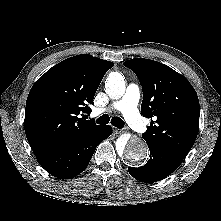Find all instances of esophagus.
I'll return each instance as SVG.
<instances>
[{"label":"esophagus","instance_id":"esophagus-1","mask_svg":"<svg viewBox=\"0 0 221 221\" xmlns=\"http://www.w3.org/2000/svg\"><path fill=\"white\" fill-rule=\"evenodd\" d=\"M113 132H114V134H121L123 132V130L119 129V128H114Z\"/></svg>","mask_w":221,"mask_h":221}]
</instances>
